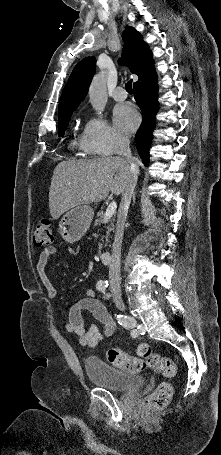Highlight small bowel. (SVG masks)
Returning <instances> with one entry per match:
<instances>
[{
	"instance_id": "small-bowel-1",
	"label": "small bowel",
	"mask_w": 221,
	"mask_h": 455,
	"mask_svg": "<svg viewBox=\"0 0 221 455\" xmlns=\"http://www.w3.org/2000/svg\"><path fill=\"white\" fill-rule=\"evenodd\" d=\"M55 253L56 248L54 246L44 248L40 252L35 264V270L39 280L50 298H56L58 296V291L53 286L46 272L47 265ZM82 311L90 312L96 319V322L91 324L88 329L84 326ZM100 325H103V331L100 330ZM64 329L68 333L77 335L80 345L95 348L115 333L117 324L106 306L95 297L94 291L88 289L86 296L70 308Z\"/></svg>"
}]
</instances>
